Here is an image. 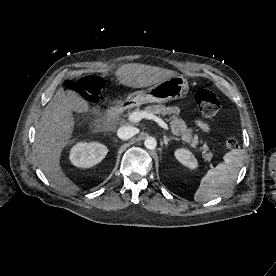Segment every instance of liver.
<instances>
[{"mask_svg": "<svg viewBox=\"0 0 276 276\" xmlns=\"http://www.w3.org/2000/svg\"><path fill=\"white\" fill-rule=\"evenodd\" d=\"M115 75L118 82L126 87L143 88L177 73L155 66L130 63L119 67ZM70 98L62 87L57 90L42 113L35 137V153L40 169L58 189L69 193L79 190L60 166L61 153L72 142L75 129Z\"/></svg>", "mask_w": 276, "mask_h": 276, "instance_id": "1", "label": "liver"}]
</instances>
